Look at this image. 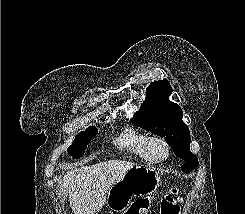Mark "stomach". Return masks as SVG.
<instances>
[{
  "mask_svg": "<svg viewBox=\"0 0 245 214\" xmlns=\"http://www.w3.org/2000/svg\"><path fill=\"white\" fill-rule=\"evenodd\" d=\"M160 185L159 172L149 166L136 165L114 184L107 195V205L114 212L125 211L132 196L150 195Z\"/></svg>",
  "mask_w": 245,
  "mask_h": 214,
  "instance_id": "stomach-1",
  "label": "stomach"
}]
</instances>
